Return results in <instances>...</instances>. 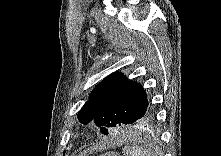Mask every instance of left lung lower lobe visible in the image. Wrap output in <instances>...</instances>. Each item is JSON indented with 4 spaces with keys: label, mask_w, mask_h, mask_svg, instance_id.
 Instances as JSON below:
<instances>
[{
    "label": "left lung lower lobe",
    "mask_w": 221,
    "mask_h": 156,
    "mask_svg": "<svg viewBox=\"0 0 221 156\" xmlns=\"http://www.w3.org/2000/svg\"><path fill=\"white\" fill-rule=\"evenodd\" d=\"M154 119V115L152 112H150V114L146 117V118H142V120L140 119L139 122H136V126L138 127H147L149 125H151V123L153 122Z\"/></svg>",
    "instance_id": "left-lung-lower-lobe-1"
}]
</instances>
